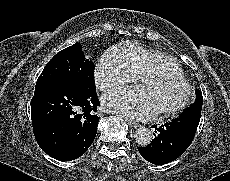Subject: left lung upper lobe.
<instances>
[{"label":"left lung upper lobe","mask_w":230,"mask_h":181,"mask_svg":"<svg viewBox=\"0 0 230 181\" xmlns=\"http://www.w3.org/2000/svg\"><path fill=\"white\" fill-rule=\"evenodd\" d=\"M202 104H203L202 93L199 90H197L196 91V100H195V102L190 107H188L185 111H187V110H197V111L201 112Z\"/></svg>","instance_id":"left-lung-upper-lobe-1"}]
</instances>
